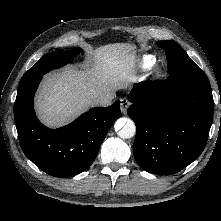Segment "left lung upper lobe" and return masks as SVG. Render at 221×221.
<instances>
[{"instance_id":"left-lung-upper-lobe-1","label":"left lung upper lobe","mask_w":221,"mask_h":221,"mask_svg":"<svg viewBox=\"0 0 221 221\" xmlns=\"http://www.w3.org/2000/svg\"><path fill=\"white\" fill-rule=\"evenodd\" d=\"M158 46L166 53L170 74L190 71H201L187 53L173 41H159Z\"/></svg>"}]
</instances>
